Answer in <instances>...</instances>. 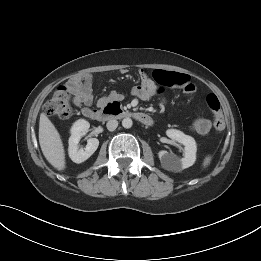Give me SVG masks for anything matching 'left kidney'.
I'll list each match as a JSON object with an SVG mask.
<instances>
[{"mask_svg": "<svg viewBox=\"0 0 261 261\" xmlns=\"http://www.w3.org/2000/svg\"><path fill=\"white\" fill-rule=\"evenodd\" d=\"M166 135L181 144L184 147V157L178 158L169 152L162 150L159 151L158 157L162 166L171 171H180L182 169L192 166L196 161V142L191 136L185 135L183 132L176 129H168Z\"/></svg>", "mask_w": 261, "mask_h": 261, "instance_id": "5707ae66", "label": "left kidney"}]
</instances>
